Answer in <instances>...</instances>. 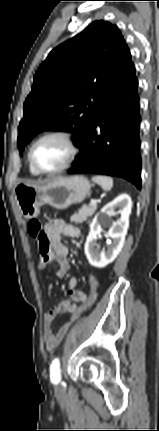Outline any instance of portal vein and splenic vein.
I'll return each mask as SVG.
<instances>
[{
	"instance_id": "obj_1",
	"label": "portal vein and splenic vein",
	"mask_w": 159,
	"mask_h": 431,
	"mask_svg": "<svg viewBox=\"0 0 159 431\" xmlns=\"http://www.w3.org/2000/svg\"><path fill=\"white\" fill-rule=\"evenodd\" d=\"M97 205V202L96 201H91V203H90V206H96Z\"/></svg>"
}]
</instances>
